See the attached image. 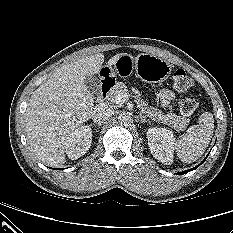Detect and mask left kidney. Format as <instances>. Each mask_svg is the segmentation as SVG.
Here are the masks:
<instances>
[{
  "label": "left kidney",
  "instance_id": "left-kidney-1",
  "mask_svg": "<svg viewBox=\"0 0 233 233\" xmlns=\"http://www.w3.org/2000/svg\"><path fill=\"white\" fill-rule=\"evenodd\" d=\"M147 138L152 155L163 164H172L175 140L173 133L165 128L153 127L148 129Z\"/></svg>",
  "mask_w": 233,
  "mask_h": 233
}]
</instances>
